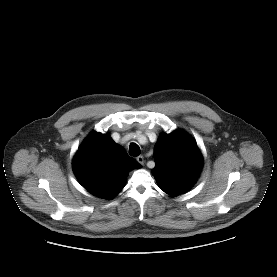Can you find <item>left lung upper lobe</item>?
Segmentation results:
<instances>
[{"label":"left lung upper lobe","instance_id":"left-lung-upper-lobe-1","mask_svg":"<svg viewBox=\"0 0 277 277\" xmlns=\"http://www.w3.org/2000/svg\"><path fill=\"white\" fill-rule=\"evenodd\" d=\"M158 186L168 195L184 193L196 182L203 164L196 142L184 131L163 134L154 147Z\"/></svg>","mask_w":277,"mask_h":277}]
</instances>
